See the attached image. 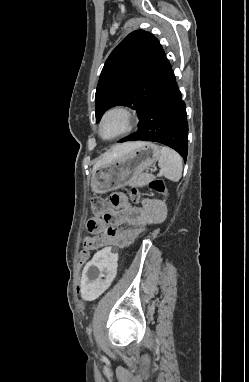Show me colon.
<instances>
[{
  "label": "colon",
  "instance_id": "colon-1",
  "mask_svg": "<svg viewBox=\"0 0 249 382\" xmlns=\"http://www.w3.org/2000/svg\"><path fill=\"white\" fill-rule=\"evenodd\" d=\"M150 188L158 193H164L165 192V183L163 180L161 179H153L150 184H149ZM131 198L134 202H137L139 200V194L138 192L135 190V189H132L131 190ZM106 201L103 197H100V196H95V197H92L91 200H90V209L92 211L93 214L95 215H102L106 209ZM88 250L87 249H83L81 250L80 252V261L83 262L85 261L87 258H88Z\"/></svg>",
  "mask_w": 249,
  "mask_h": 382
}]
</instances>
